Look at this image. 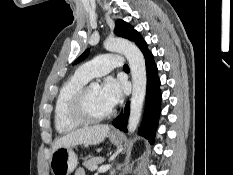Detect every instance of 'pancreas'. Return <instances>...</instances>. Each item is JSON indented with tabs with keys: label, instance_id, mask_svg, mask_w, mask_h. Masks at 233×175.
<instances>
[{
	"label": "pancreas",
	"instance_id": "cf45deb5",
	"mask_svg": "<svg viewBox=\"0 0 233 175\" xmlns=\"http://www.w3.org/2000/svg\"><path fill=\"white\" fill-rule=\"evenodd\" d=\"M103 161H104L103 157H92L88 160H85L83 162V166L90 171H94L97 169V164H99Z\"/></svg>",
	"mask_w": 233,
	"mask_h": 175
}]
</instances>
